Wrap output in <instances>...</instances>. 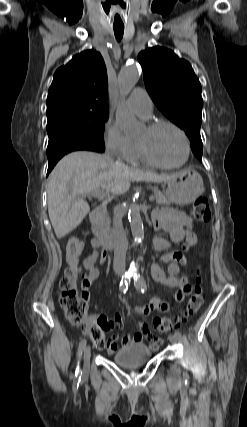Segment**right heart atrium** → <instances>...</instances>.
Here are the masks:
<instances>
[{
	"label": "right heart atrium",
	"instance_id": "right-heart-atrium-1",
	"mask_svg": "<svg viewBox=\"0 0 247 427\" xmlns=\"http://www.w3.org/2000/svg\"><path fill=\"white\" fill-rule=\"evenodd\" d=\"M102 137L105 149L110 156L119 160H130L133 142L124 135L120 127L112 120L105 123Z\"/></svg>",
	"mask_w": 247,
	"mask_h": 427
}]
</instances>
